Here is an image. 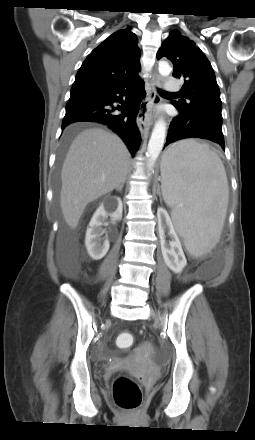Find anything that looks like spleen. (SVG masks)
<instances>
[{
  "mask_svg": "<svg viewBox=\"0 0 255 440\" xmlns=\"http://www.w3.org/2000/svg\"><path fill=\"white\" fill-rule=\"evenodd\" d=\"M162 194L190 254L199 257L218 242L229 201L228 181L219 156L206 144L181 141L167 150Z\"/></svg>",
  "mask_w": 255,
  "mask_h": 440,
  "instance_id": "spleen-1",
  "label": "spleen"
}]
</instances>
